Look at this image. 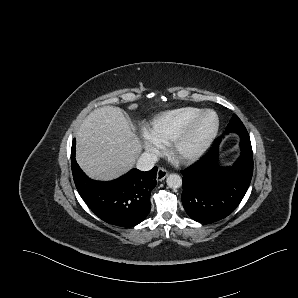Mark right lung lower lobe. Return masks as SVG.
Here are the masks:
<instances>
[{"mask_svg": "<svg viewBox=\"0 0 298 298\" xmlns=\"http://www.w3.org/2000/svg\"><path fill=\"white\" fill-rule=\"evenodd\" d=\"M75 144L74 140L71 151L73 178L88 207L112 225L133 227L142 222L150 211V195L156 185L157 167L147 172L132 169L110 182L93 181L75 160Z\"/></svg>", "mask_w": 298, "mask_h": 298, "instance_id": "1", "label": "right lung lower lobe"}]
</instances>
